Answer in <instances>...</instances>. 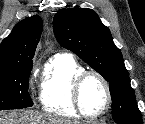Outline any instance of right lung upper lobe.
Returning <instances> with one entry per match:
<instances>
[{"instance_id": "cb5924a9", "label": "right lung upper lobe", "mask_w": 145, "mask_h": 124, "mask_svg": "<svg viewBox=\"0 0 145 124\" xmlns=\"http://www.w3.org/2000/svg\"><path fill=\"white\" fill-rule=\"evenodd\" d=\"M42 29V19L37 15L19 22L0 44V68L32 62Z\"/></svg>"}]
</instances>
